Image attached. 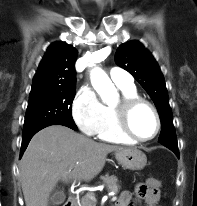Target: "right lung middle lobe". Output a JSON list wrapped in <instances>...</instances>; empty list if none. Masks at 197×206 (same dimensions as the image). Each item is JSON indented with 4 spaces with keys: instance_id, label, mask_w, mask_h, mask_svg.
I'll use <instances>...</instances> for the list:
<instances>
[{
    "instance_id": "dd1d6c3e",
    "label": "right lung middle lobe",
    "mask_w": 197,
    "mask_h": 206,
    "mask_svg": "<svg viewBox=\"0 0 197 206\" xmlns=\"http://www.w3.org/2000/svg\"><path fill=\"white\" fill-rule=\"evenodd\" d=\"M75 92V87L31 90L23 134L53 124L77 128L71 113Z\"/></svg>"
}]
</instances>
